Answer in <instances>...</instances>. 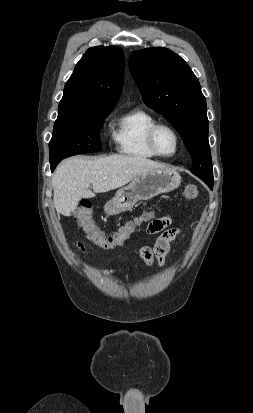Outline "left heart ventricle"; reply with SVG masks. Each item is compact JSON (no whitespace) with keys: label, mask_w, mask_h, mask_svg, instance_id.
I'll list each match as a JSON object with an SVG mask.
<instances>
[{"label":"left heart ventricle","mask_w":253,"mask_h":413,"mask_svg":"<svg viewBox=\"0 0 253 413\" xmlns=\"http://www.w3.org/2000/svg\"><path fill=\"white\" fill-rule=\"evenodd\" d=\"M156 144L163 154H172L176 149V139L167 128H160L156 134Z\"/></svg>","instance_id":"left-heart-ventricle-1"}]
</instances>
